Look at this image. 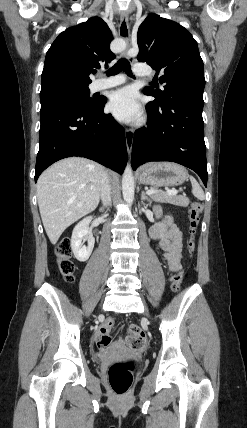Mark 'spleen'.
Returning <instances> with one entry per match:
<instances>
[{"instance_id": "spleen-1", "label": "spleen", "mask_w": 247, "mask_h": 428, "mask_svg": "<svg viewBox=\"0 0 247 428\" xmlns=\"http://www.w3.org/2000/svg\"><path fill=\"white\" fill-rule=\"evenodd\" d=\"M190 181H191V184H192V193H193V195L195 197H197L199 200H204L205 195H204V192H203L202 188L198 184V182L193 177H190Z\"/></svg>"}]
</instances>
